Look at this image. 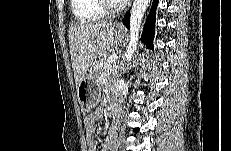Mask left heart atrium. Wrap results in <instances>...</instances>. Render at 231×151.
Instances as JSON below:
<instances>
[{
  "label": "left heart atrium",
  "instance_id": "39dd6f15",
  "mask_svg": "<svg viewBox=\"0 0 231 151\" xmlns=\"http://www.w3.org/2000/svg\"><path fill=\"white\" fill-rule=\"evenodd\" d=\"M117 3H127L128 0H116Z\"/></svg>",
  "mask_w": 231,
  "mask_h": 151
}]
</instances>
